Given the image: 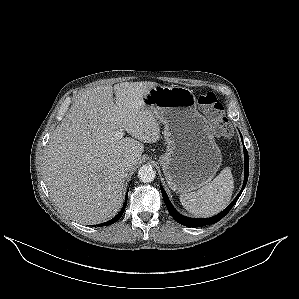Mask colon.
<instances>
[{
    "label": "colon",
    "instance_id": "colon-1",
    "mask_svg": "<svg viewBox=\"0 0 299 299\" xmlns=\"http://www.w3.org/2000/svg\"><path fill=\"white\" fill-rule=\"evenodd\" d=\"M200 109L212 124L214 133L219 137H229L232 134V126L224 113L223 105L212 92H206L198 97Z\"/></svg>",
    "mask_w": 299,
    "mask_h": 299
}]
</instances>
